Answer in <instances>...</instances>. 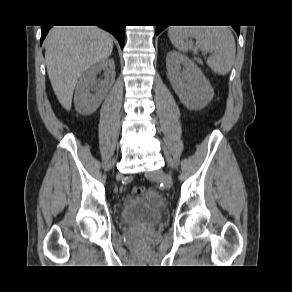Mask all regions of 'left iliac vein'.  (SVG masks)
I'll return each mask as SVG.
<instances>
[{
    "instance_id": "obj_1",
    "label": "left iliac vein",
    "mask_w": 292,
    "mask_h": 292,
    "mask_svg": "<svg viewBox=\"0 0 292 292\" xmlns=\"http://www.w3.org/2000/svg\"><path fill=\"white\" fill-rule=\"evenodd\" d=\"M147 177L149 179L160 180L166 189H170L172 187L173 181L171 175L161 169L148 173Z\"/></svg>"
}]
</instances>
